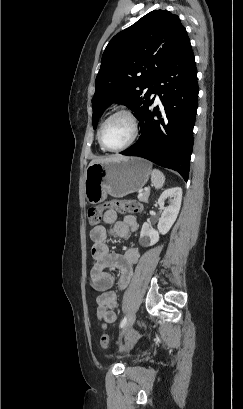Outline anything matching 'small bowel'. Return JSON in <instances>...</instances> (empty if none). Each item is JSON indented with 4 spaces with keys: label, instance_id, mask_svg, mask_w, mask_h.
<instances>
[{
    "label": "small bowel",
    "instance_id": "c3829d8e",
    "mask_svg": "<svg viewBox=\"0 0 243 409\" xmlns=\"http://www.w3.org/2000/svg\"><path fill=\"white\" fill-rule=\"evenodd\" d=\"M105 225H97L90 231L92 241V257L94 265L91 269V285L99 292L96 297L97 317L103 327L117 320V297L112 290L114 277L106 269L119 271L118 287L123 290L132 278L133 266L138 262L139 251L134 246H127L124 253L112 252L107 244L109 236L129 238L130 232L137 227L133 216H125L118 220L116 211L106 210L102 216Z\"/></svg>",
    "mask_w": 243,
    "mask_h": 409
}]
</instances>
